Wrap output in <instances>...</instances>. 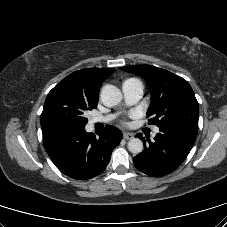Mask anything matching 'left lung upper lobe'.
I'll list each match as a JSON object with an SVG mask.
<instances>
[{
    "instance_id": "1",
    "label": "left lung upper lobe",
    "mask_w": 227,
    "mask_h": 227,
    "mask_svg": "<svg viewBox=\"0 0 227 227\" xmlns=\"http://www.w3.org/2000/svg\"><path fill=\"white\" fill-rule=\"evenodd\" d=\"M143 77L151 89L148 123L198 130L199 105L189 83L165 69L150 65L121 67Z\"/></svg>"
}]
</instances>
